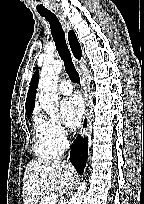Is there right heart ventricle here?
<instances>
[{
	"label": "right heart ventricle",
	"instance_id": "obj_1",
	"mask_svg": "<svg viewBox=\"0 0 144 204\" xmlns=\"http://www.w3.org/2000/svg\"><path fill=\"white\" fill-rule=\"evenodd\" d=\"M33 147L35 154L45 160L56 159L61 154V151L49 141L43 120L38 116L34 118Z\"/></svg>",
	"mask_w": 144,
	"mask_h": 204
}]
</instances>
